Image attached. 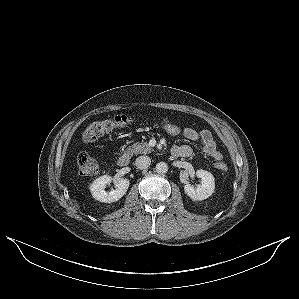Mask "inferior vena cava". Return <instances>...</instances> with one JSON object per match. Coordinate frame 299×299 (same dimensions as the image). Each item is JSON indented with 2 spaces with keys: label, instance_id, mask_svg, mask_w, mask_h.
I'll return each mask as SVG.
<instances>
[{
  "label": "inferior vena cava",
  "instance_id": "obj_1",
  "mask_svg": "<svg viewBox=\"0 0 299 299\" xmlns=\"http://www.w3.org/2000/svg\"><path fill=\"white\" fill-rule=\"evenodd\" d=\"M151 163V159L148 156H139L136 160H135V165L138 169H147L150 166Z\"/></svg>",
  "mask_w": 299,
  "mask_h": 299
}]
</instances>
